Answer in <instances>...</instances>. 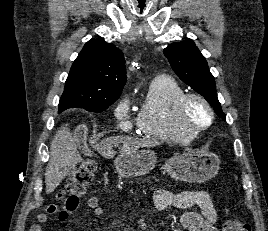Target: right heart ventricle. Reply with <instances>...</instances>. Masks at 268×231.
I'll return each instance as SVG.
<instances>
[{"mask_svg": "<svg viewBox=\"0 0 268 231\" xmlns=\"http://www.w3.org/2000/svg\"><path fill=\"white\" fill-rule=\"evenodd\" d=\"M184 94L182 86L168 76H159L150 83L137 115V124L144 136L179 143L189 140L178 128L175 118L176 103Z\"/></svg>", "mask_w": 268, "mask_h": 231, "instance_id": "e07e8e85", "label": "right heart ventricle"}]
</instances>
